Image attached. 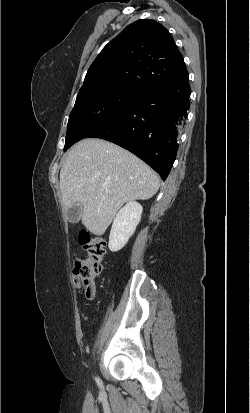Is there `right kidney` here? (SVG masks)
I'll return each mask as SVG.
<instances>
[{"label": "right kidney", "instance_id": "ca27d5eb", "mask_svg": "<svg viewBox=\"0 0 250 413\" xmlns=\"http://www.w3.org/2000/svg\"><path fill=\"white\" fill-rule=\"evenodd\" d=\"M143 208L135 201L128 202L116 215L109 236V249L121 250L136 230L141 220Z\"/></svg>", "mask_w": 250, "mask_h": 413}]
</instances>
